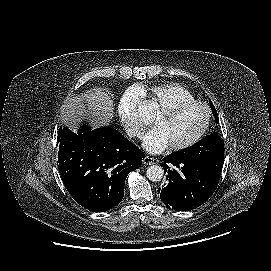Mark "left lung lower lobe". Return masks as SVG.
Instances as JSON below:
<instances>
[{
  "label": "left lung lower lobe",
  "instance_id": "left-lung-lower-lobe-1",
  "mask_svg": "<svg viewBox=\"0 0 271 271\" xmlns=\"http://www.w3.org/2000/svg\"><path fill=\"white\" fill-rule=\"evenodd\" d=\"M166 183L158 189L167 207L189 211L206 202L217 188L220 174L203 164L183 159L174 153L163 158Z\"/></svg>",
  "mask_w": 271,
  "mask_h": 271
}]
</instances>
